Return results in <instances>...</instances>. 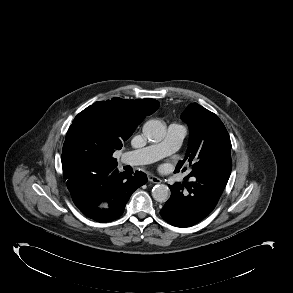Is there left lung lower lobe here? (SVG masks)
<instances>
[{"instance_id":"1","label":"left lung lower lobe","mask_w":293,"mask_h":293,"mask_svg":"<svg viewBox=\"0 0 293 293\" xmlns=\"http://www.w3.org/2000/svg\"><path fill=\"white\" fill-rule=\"evenodd\" d=\"M192 177L191 182L183 185H169L171 196L160 214L174 226L189 227L204 219L215 208L227 184L226 180L211 175Z\"/></svg>"}]
</instances>
